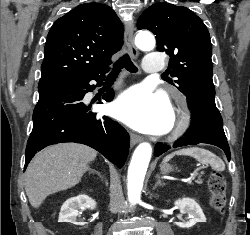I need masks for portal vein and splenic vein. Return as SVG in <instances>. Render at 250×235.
Wrapping results in <instances>:
<instances>
[{"label": "portal vein and splenic vein", "instance_id": "obj_1", "mask_svg": "<svg viewBox=\"0 0 250 235\" xmlns=\"http://www.w3.org/2000/svg\"><path fill=\"white\" fill-rule=\"evenodd\" d=\"M194 179V175H191L186 181H192Z\"/></svg>", "mask_w": 250, "mask_h": 235}]
</instances>
